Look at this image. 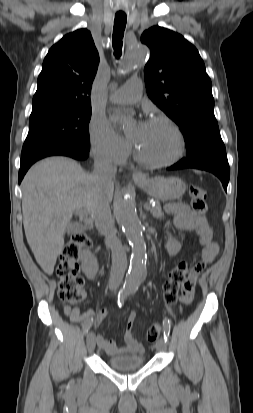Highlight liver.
I'll use <instances>...</instances> for the list:
<instances>
[{"instance_id":"obj_1","label":"liver","mask_w":253,"mask_h":413,"mask_svg":"<svg viewBox=\"0 0 253 413\" xmlns=\"http://www.w3.org/2000/svg\"><path fill=\"white\" fill-rule=\"evenodd\" d=\"M21 185L27 242L43 271L52 275L73 212L84 209L94 219L101 201H112L114 183L103 189L78 162L50 157L33 165Z\"/></svg>"}]
</instances>
